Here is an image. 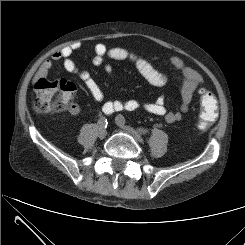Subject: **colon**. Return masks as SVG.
<instances>
[{
  "instance_id": "obj_1",
  "label": "colon",
  "mask_w": 245,
  "mask_h": 245,
  "mask_svg": "<svg viewBox=\"0 0 245 245\" xmlns=\"http://www.w3.org/2000/svg\"><path fill=\"white\" fill-rule=\"evenodd\" d=\"M75 94L72 82L63 79H39L34 85V109L38 113H60L70 109ZM201 113L199 127L208 128L217 118V103L213 93L200 90Z\"/></svg>"
}]
</instances>
